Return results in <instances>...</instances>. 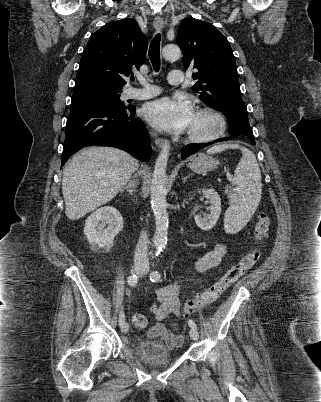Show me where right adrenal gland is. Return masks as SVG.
<instances>
[{
    "instance_id": "obj_1",
    "label": "right adrenal gland",
    "mask_w": 321,
    "mask_h": 402,
    "mask_svg": "<svg viewBox=\"0 0 321 402\" xmlns=\"http://www.w3.org/2000/svg\"><path fill=\"white\" fill-rule=\"evenodd\" d=\"M138 181L136 179H131L129 183L121 189V192L127 190L131 195L136 191Z\"/></svg>"
}]
</instances>
